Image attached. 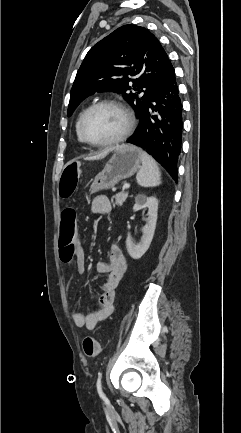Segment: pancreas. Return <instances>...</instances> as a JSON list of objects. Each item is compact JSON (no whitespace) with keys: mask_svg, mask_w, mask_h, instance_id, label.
<instances>
[{"mask_svg":"<svg viewBox=\"0 0 241 433\" xmlns=\"http://www.w3.org/2000/svg\"><path fill=\"white\" fill-rule=\"evenodd\" d=\"M128 197V192H120L117 193L113 198L115 199V201H113V205H117V206H122L123 203L125 202V200Z\"/></svg>","mask_w":241,"mask_h":433,"instance_id":"1","label":"pancreas"}]
</instances>
